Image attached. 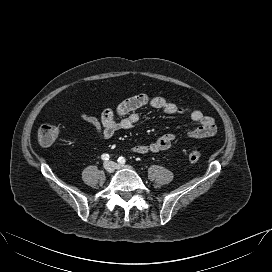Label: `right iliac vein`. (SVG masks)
Instances as JSON below:
<instances>
[{
	"label": "right iliac vein",
	"instance_id": "obj_1",
	"mask_svg": "<svg viewBox=\"0 0 272 272\" xmlns=\"http://www.w3.org/2000/svg\"><path fill=\"white\" fill-rule=\"evenodd\" d=\"M104 169L108 172V173H112L114 171V168L112 166L111 163L109 162H105L104 163Z\"/></svg>",
	"mask_w": 272,
	"mask_h": 272
}]
</instances>
